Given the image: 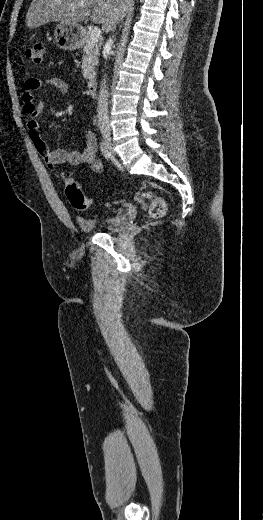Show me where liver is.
I'll list each match as a JSON object with an SVG mask.
<instances>
[{"label": "liver", "instance_id": "6515ba94", "mask_svg": "<svg viewBox=\"0 0 263 520\" xmlns=\"http://www.w3.org/2000/svg\"><path fill=\"white\" fill-rule=\"evenodd\" d=\"M130 0H32L26 15V25L37 28L49 21L78 24L91 17L109 32L122 19Z\"/></svg>", "mask_w": 263, "mask_h": 520}]
</instances>
